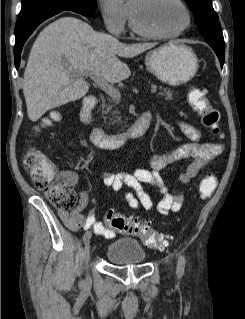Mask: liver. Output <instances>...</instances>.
<instances>
[{"label": "liver", "instance_id": "obj_1", "mask_svg": "<svg viewBox=\"0 0 245 319\" xmlns=\"http://www.w3.org/2000/svg\"><path fill=\"white\" fill-rule=\"evenodd\" d=\"M155 45L124 44L78 18L57 19L36 38L25 68L23 93L29 119L35 122L45 112L85 96L89 91L85 74L110 83L128 78L130 69L118 57L132 58Z\"/></svg>", "mask_w": 245, "mask_h": 319}]
</instances>
